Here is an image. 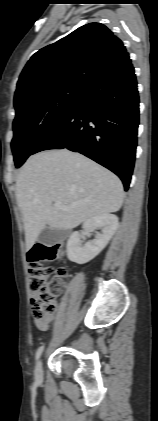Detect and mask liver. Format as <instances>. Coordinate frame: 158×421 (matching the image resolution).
I'll use <instances>...</instances> for the list:
<instances>
[{
  "mask_svg": "<svg viewBox=\"0 0 158 421\" xmlns=\"http://www.w3.org/2000/svg\"><path fill=\"white\" fill-rule=\"evenodd\" d=\"M27 250L41 231L70 230L96 216L117 212L123 203L120 179L92 160L67 149L30 156L16 180ZM60 201L67 209L54 207Z\"/></svg>",
  "mask_w": 158,
  "mask_h": 421,
  "instance_id": "obj_1",
  "label": "liver"
}]
</instances>
